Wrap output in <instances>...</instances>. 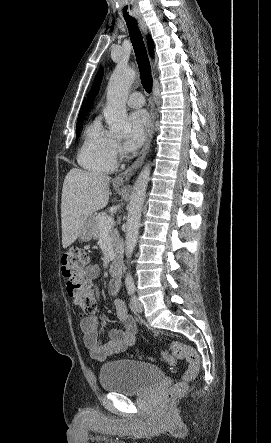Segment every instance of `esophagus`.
<instances>
[{
  "label": "esophagus",
  "instance_id": "obj_1",
  "mask_svg": "<svg viewBox=\"0 0 271 443\" xmlns=\"http://www.w3.org/2000/svg\"><path fill=\"white\" fill-rule=\"evenodd\" d=\"M135 18L137 19L142 32L144 34H147V27L145 25L142 15H135ZM154 95H155V91H153V98H152L151 107H150V120H149L148 136L145 140L142 150L140 151L139 156L132 163V165H130V167H128L124 172L119 173V175H117L113 179V182H115L119 185H125L136 174V172L141 167V165H142V163L149 151V148L151 146V140H152L153 132H154V124H155V120H156Z\"/></svg>",
  "mask_w": 271,
  "mask_h": 443
}]
</instances>
